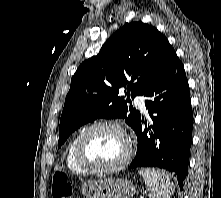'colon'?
I'll return each mask as SVG.
<instances>
[{
	"mask_svg": "<svg viewBox=\"0 0 221 198\" xmlns=\"http://www.w3.org/2000/svg\"><path fill=\"white\" fill-rule=\"evenodd\" d=\"M51 193L53 198H72V186L64 173L53 176Z\"/></svg>",
	"mask_w": 221,
	"mask_h": 198,
	"instance_id": "colon-1",
	"label": "colon"
}]
</instances>
